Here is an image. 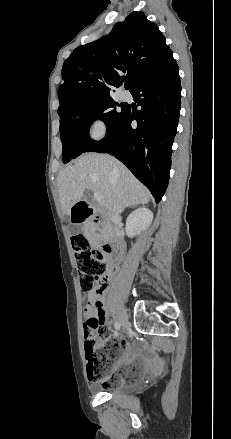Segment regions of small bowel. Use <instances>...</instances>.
Wrapping results in <instances>:
<instances>
[{"label":"small bowel","instance_id":"obj_1","mask_svg":"<svg viewBox=\"0 0 231 439\" xmlns=\"http://www.w3.org/2000/svg\"><path fill=\"white\" fill-rule=\"evenodd\" d=\"M89 303L85 309L84 317V330L85 334L87 330L91 328L100 329L106 322L107 313L105 309V299H104V291L101 293H91L88 296ZM86 343H91L86 340ZM101 341H97V345H100ZM136 352V349L133 345L125 344L124 353L117 363L115 370L124 368L125 363L133 356Z\"/></svg>","mask_w":231,"mask_h":439}]
</instances>
